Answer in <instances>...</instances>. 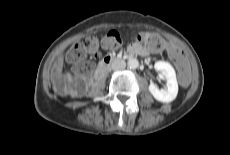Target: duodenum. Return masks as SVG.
Wrapping results in <instances>:
<instances>
[{
	"instance_id": "1",
	"label": "duodenum",
	"mask_w": 230,
	"mask_h": 155,
	"mask_svg": "<svg viewBox=\"0 0 230 155\" xmlns=\"http://www.w3.org/2000/svg\"><path fill=\"white\" fill-rule=\"evenodd\" d=\"M134 55H136L135 52L129 51V53L126 56H112V55L105 56L98 65L97 76H100L108 67L111 66V64L122 60H127L128 58Z\"/></svg>"
}]
</instances>
